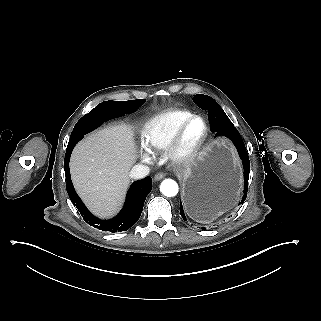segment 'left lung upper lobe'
<instances>
[{"label": "left lung upper lobe", "mask_w": 321, "mask_h": 321, "mask_svg": "<svg viewBox=\"0 0 321 321\" xmlns=\"http://www.w3.org/2000/svg\"><path fill=\"white\" fill-rule=\"evenodd\" d=\"M193 101L203 110H207L209 107L221 108L213 98L207 95H195Z\"/></svg>", "instance_id": "left-lung-upper-lobe-1"}]
</instances>
